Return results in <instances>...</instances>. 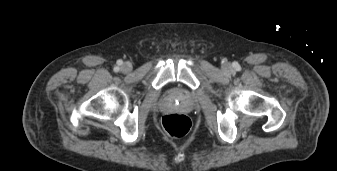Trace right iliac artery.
<instances>
[{
	"label": "right iliac artery",
	"mask_w": 337,
	"mask_h": 171,
	"mask_svg": "<svg viewBox=\"0 0 337 171\" xmlns=\"http://www.w3.org/2000/svg\"><path fill=\"white\" fill-rule=\"evenodd\" d=\"M119 70V68L118 67H115V71H118Z\"/></svg>",
	"instance_id": "right-iliac-artery-1"
}]
</instances>
